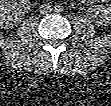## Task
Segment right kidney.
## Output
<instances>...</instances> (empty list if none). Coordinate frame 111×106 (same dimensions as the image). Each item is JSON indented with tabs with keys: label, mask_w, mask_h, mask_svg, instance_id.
Masks as SVG:
<instances>
[{
	"label": "right kidney",
	"mask_w": 111,
	"mask_h": 106,
	"mask_svg": "<svg viewBox=\"0 0 111 106\" xmlns=\"http://www.w3.org/2000/svg\"><path fill=\"white\" fill-rule=\"evenodd\" d=\"M29 8V2L25 0H2L0 5L2 28L17 26L21 22L22 14Z\"/></svg>",
	"instance_id": "right-kidney-1"
}]
</instances>
